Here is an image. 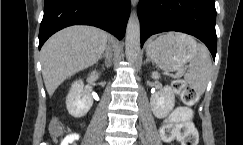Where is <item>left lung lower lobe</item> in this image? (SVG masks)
I'll use <instances>...</instances> for the list:
<instances>
[{
    "mask_svg": "<svg viewBox=\"0 0 243 145\" xmlns=\"http://www.w3.org/2000/svg\"><path fill=\"white\" fill-rule=\"evenodd\" d=\"M141 47L152 34L178 31L200 39L215 59V0H140Z\"/></svg>",
    "mask_w": 243,
    "mask_h": 145,
    "instance_id": "left-lung-lower-lobe-1",
    "label": "left lung lower lobe"
}]
</instances>
